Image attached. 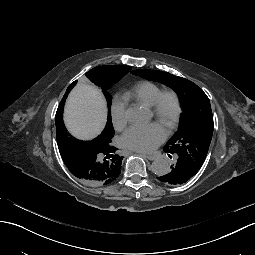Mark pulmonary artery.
Masks as SVG:
<instances>
[{"mask_svg":"<svg viewBox=\"0 0 255 255\" xmlns=\"http://www.w3.org/2000/svg\"><path fill=\"white\" fill-rule=\"evenodd\" d=\"M170 159H171V161L176 162V161H178L179 156H178V154L173 153V154H171Z\"/></svg>","mask_w":255,"mask_h":255,"instance_id":"obj_1","label":"pulmonary artery"}]
</instances>
